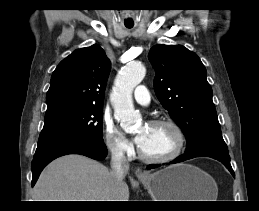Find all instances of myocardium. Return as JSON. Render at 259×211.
Listing matches in <instances>:
<instances>
[{"mask_svg":"<svg viewBox=\"0 0 259 211\" xmlns=\"http://www.w3.org/2000/svg\"><path fill=\"white\" fill-rule=\"evenodd\" d=\"M150 125H155V126L164 125L169 127L174 133L175 145L173 150L170 153L163 156H149L143 152L140 146H138L137 152L140 159L147 163H153V164L167 163L176 159L181 154L185 144V136L181 127L174 120L169 118H158V119L152 120L150 122Z\"/></svg>","mask_w":259,"mask_h":211,"instance_id":"1","label":"myocardium"}]
</instances>
